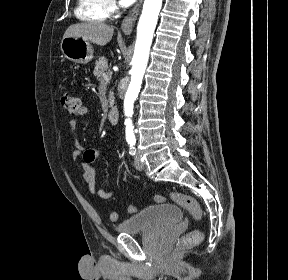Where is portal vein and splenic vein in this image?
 Segmentation results:
<instances>
[{
  "label": "portal vein and splenic vein",
  "instance_id": "18ae733b",
  "mask_svg": "<svg viewBox=\"0 0 288 280\" xmlns=\"http://www.w3.org/2000/svg\"><path fill=\"white\" fill-rule=\"evenodd\" d=\"M103 77H104V80L108 81L111 78V74L109 72H106L104 73Z\"/></svg>",
  "mask_w": 288,
  "mask_h": 280
}]
</instances>
